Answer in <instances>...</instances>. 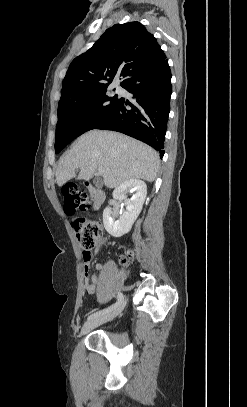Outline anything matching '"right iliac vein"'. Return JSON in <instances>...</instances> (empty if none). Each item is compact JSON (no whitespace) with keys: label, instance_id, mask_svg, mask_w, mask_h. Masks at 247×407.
<instances>
[{"label":"right iliac vein","instance_id":"1","mask_svg":"<svg viewBox=\"0 0 247 407\" xmlns=\"http://www.w3.org/2000/svg\"><path fill=\"white\" fill-rule=\"evenodd\" d=\"M123 308L124 303L106 315L87 321L81 328L80 334L84 335L91 331L93 328L112 320L122 311Z\"/></svg>","mask_w":247,"mask_h":407}]
</instances>
